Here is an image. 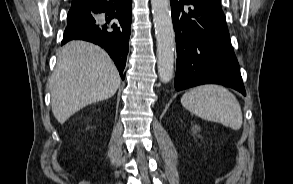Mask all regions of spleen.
Instances as JSON below:
<instances>
[{
	"label": "spleen",
	"mask_w": 293,
	"mask_h": 184,
	"mask_svg": "<svg viewBox=\"0 0 293 184\" xmlns=\"http://www.w3.org/2000/svg\"><path fill=\"white\" fill-rule=\"evenodd\" d=\"M182 105L196 116L223 124L233 130L243 123L240 104L228 89L220 85H201L181 98Z\"/></svg>",
	"instance_id": "obj_1"
}]
</instances>
